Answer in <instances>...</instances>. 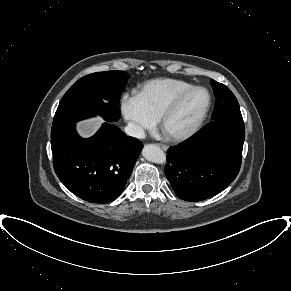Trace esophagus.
<instances>
[{"label":"esophagus","instance_id":"obj_1","mask_svg":"<svg viewBox=\"0 0 291 291\" xmlns=\"http://www.w3.org/2000/svg\"><path fill=\"white\" fill-rule=\"evenodd\" d=\"M156 145L158 147H160L161 149H163V150H167L168 149V146L167 145H164V144H161V143H157Z\"/></svg>","mask_w":291,"mask_h":291}]
</instances>
